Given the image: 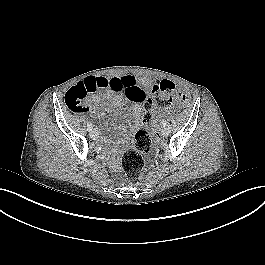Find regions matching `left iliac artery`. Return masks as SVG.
<instances>
[{
	"instance_id": "1",
	"label": "left iliac artery",
	"mask_w": 265,
	"mask_h": 265,
	"mask_svg": "<svg viewBox=\"0 0 265 265\" xmlns=\"http://www.w3.org/2000/svg\"><path fill=\"white\" fill-rule=\"evenodd\" d=\"M166 124H167V121H166V120H162L161 125H162L163 127H165Z\"/></svg>"
}]
</instances>
